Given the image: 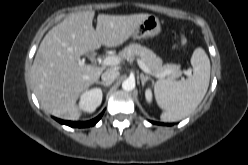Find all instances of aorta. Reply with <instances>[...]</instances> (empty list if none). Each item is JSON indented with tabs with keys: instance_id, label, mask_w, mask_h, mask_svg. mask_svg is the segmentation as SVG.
I'll use <instances>...</instances> for the list:
<instances>
[{
	"instance_id": "762f6f07",
	"label": "aorta",
	"mask_w": 248,
	"mask_h": 165,
	"mask_svg": "<svg viewBox=\"0 0 248 165\" xmlns=\"http://www.w3.org/2000/svg\"><path fill=\"white\" fill-rule=\"evenodd\" d=\"M122 88L125 91H131L135 88V80L134 79H126L122 82Z\"/></svg>"
}]
</instances>
